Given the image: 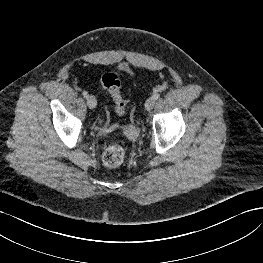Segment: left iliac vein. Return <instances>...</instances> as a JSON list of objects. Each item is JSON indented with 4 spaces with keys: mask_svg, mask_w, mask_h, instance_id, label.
<instances>
[{
    "mask_svg": "<svg viewBox=\"0 0 263 263\" xmlns=\"http://www.w3.org/2000/svg\"><path fill=\"white\" fill-rule=\"evenodd\" d=\"M155 105V99L153 97H150L147 99L146 103H145V109L147 111H150Z\"/></svg>",
    "mask_w": 263,
    "mask_h": 263,
    "instance_id": "4c4485c4",
    "label": "left iliac vein"
}]
</instances>
